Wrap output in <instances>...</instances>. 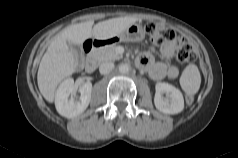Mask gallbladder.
Wrapping results in <instances>:
<instances>
[{"mask_svg":"<svg viewBox=\"0 0 238 158\" xmlns=\"http://www.w3.org/2000/svg\"><path fill=\"white\" fill-rule=\"evenodd\" d=\"M68 46L74 50L78 63L80 64L83 59V51L79 45L68 43Z\"/></svg>","mask_w":238,"mask_h":158,"instance_id":"1","label":"gallbladder"}]
</instances>
